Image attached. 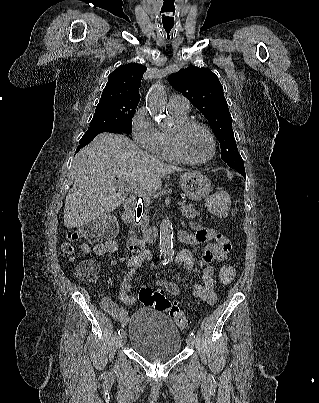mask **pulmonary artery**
<instances>
[{"label":"pulmonary artery","mask_w":319,"mask_h":403,"mask_svg":"<svg viewBox=\"0 0 319 403\" xmlns=\"http://www.w3.org/2000/svg\"><path fill=\"white\" fill-rule=\"evenodd\" d=\"M168 108L180 112H188L190 104L188 100L181 95H172L168 102Z\"/></svg>","instance_id":"e3ab8cb5"}]
</instances>
